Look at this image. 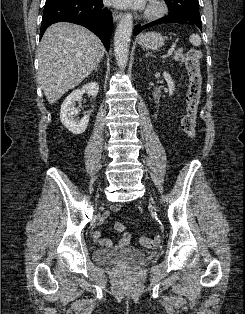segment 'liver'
Wrapping results in <instances>:
<instances>
[{"mask_svg": "<svg viewBox=\"0 0 245 314\" xmlns=\"http://www.w3.org/2000/svg\"><path fill=\"white\" fill-rule=\"evenodd\" d=\"M105 48L88 29L67 22L51 25L39 48L38 80L50 104L78 86L101 61Z\"/></svg>", "mask_w": 245, "mask_h": 314, "instance_id": "liver-1", "label": "liver"}]
</instances>
